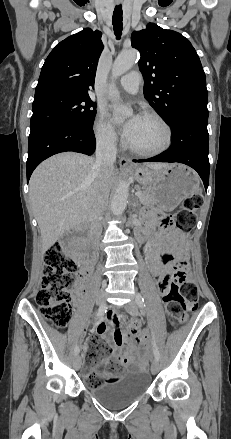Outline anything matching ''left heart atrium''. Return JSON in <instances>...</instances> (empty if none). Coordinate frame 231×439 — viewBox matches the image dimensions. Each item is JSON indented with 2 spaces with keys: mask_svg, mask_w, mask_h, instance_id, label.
I'll list each match as a JSON object with an SVG mask.
<instances>
[{
  "mask_svg": "<svg viewBox=\"0 0 231 439\" xmlns=\"http://www.w3.org/2000/svg\"><path fill=\"white\" fill-rule=\"evenodd\" d=\"M141 118V115H134L123 126V135L128 143L132 140Z\"/></svg>",
  "mask_w": 231,
  "mask_h": 439,
  "instance_id": "left-heart-atrium-1",
  "label": "left heart atrium"
}]
</instances>
